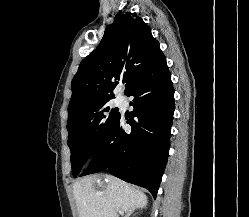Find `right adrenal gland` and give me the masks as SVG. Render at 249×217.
Masks as SVG:
<instances>
[{"mask_svg": "<svg viewBox=\"0 0 249 217\" xmlns=\"http://www.w3.org/2000/svg\"><path fill=\"white\" fill-rule=\"evenodd\" d=\"M131 213H132L131 210L125 212L124 217H129Z\"/></svg>", "mask_w": 249, "mask_h": 217, "instance_id": "1", "label": "right adrenal gland"}]
</instances>
